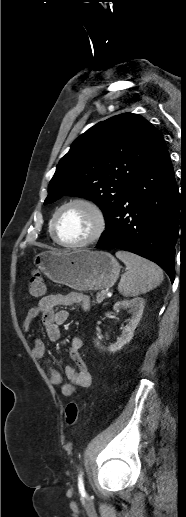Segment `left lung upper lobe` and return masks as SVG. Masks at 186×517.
Masks as SVG:
<instances>
[{"mask_svg": "<svg viewBox=\"0 0 186 517\" xmlns=\"http://www.w3.org/2000/svg\"><path fill=\"white\" fill-rule=\"evenodd\" d=\"M163 142L158 130L137 114L99 122L80 135L61 158L44 205L65 194L85 197L101 208L107 223L131 181Z\"/></svg>", "mask_w": 186, "mask_h": 517, "instance_id": "1", "label": "left lung upper lobe"}]
</instances>
